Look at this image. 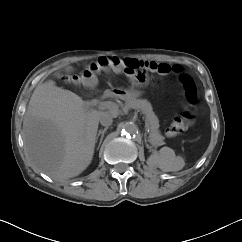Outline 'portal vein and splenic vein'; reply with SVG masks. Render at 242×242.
Here are the masks:
<instances>
[{"label": "portal vein and splenic vein", "mask_w": 242, "mask_h": 242, "mask_svg": "<svg viewBox=\"0 0 242 242\" xmlns=\"http://www.w3.org/2000/svg\"><path fill=\"white\" fill-rule=\"evenodd\" d=\"M100 107L110 109L113 112H116L118 110L117 104L111 101L102 102L100 104ZM145 127L148 129L147 123H145Z\"/></svg>", "instance_id": "obj_1"}]
</instances>
